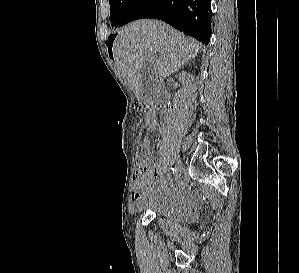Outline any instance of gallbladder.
<instances>
[{"label": "gallbladder", "instance_id": "1", "mask_svg": "<svg viewBox=\"0 0 299 273\" xmlns=\"http://www.w3.org/2000/svg\"><path fill=\"white\" fill-rule=\"evenodd\" d=\"M141 86L145 98L154 97L157 73L151 63H145L141 69Z\"/></svg>", "mask_w": 299, "mask_h": 273}]
</instances>
